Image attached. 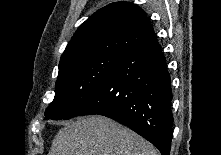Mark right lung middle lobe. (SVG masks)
Returning <instances> with one entry per match:
<instances>
[{"mask_svg": "<svg viewBox=\"0 0 221 155\" xmlns=\"http://www.w3.org/2000/svg\"><path fill=\"white\" fill-rule=\"evenodd\" d=\"M123 57L117 53H102L78 59L59 70L56 94L46 109L44 119L79 116Z\"/></svg>", "mask_w": 221, "mask_h": 155, "instance_id": "obj_1", "label": "right lung middle lobe"}]
</instances>
